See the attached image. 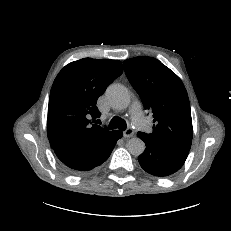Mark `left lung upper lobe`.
I'll return each instance as SVG.
<instances>
[{"label":"left lung upper lobe","instance_id":"1","mask_svg":"<svg viewBox=\"0 0 231 231\" xmlns=\"http://www.w3.org/2000/svg\"><path fill=\"white\" fill-rule=\"evenodd\" d=\"M126 76L154 118L153 132L140 134L155 143L190 150L192 118L189 98L181 79L153 57L123 62Z\"/></svg>","mask_w":231,"mask_h":231}]
</instances>
